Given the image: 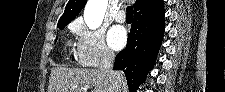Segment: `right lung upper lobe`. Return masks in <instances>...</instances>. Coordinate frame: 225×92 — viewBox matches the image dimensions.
Returning a JSON list of instances; mask_svg holds the SVG:
<instances>
[{
    "mask_svg": "<svg viewBox=\"0 0 225 92\" xmlns=\"http://www.w3.org/2000/svg\"><path fill=\"white\" fill-rule=\"evenodd\" d=\"M87 0H69L58 23L71 22L83 9ZM134 17H149L164 10L163 0H136Z\"/></svg>",
    "mask_w": 225,
    "mask_h": 92,
    "instance_id": "obj_1",
    "label": "right lung upper lobe"
}]
</instances>
